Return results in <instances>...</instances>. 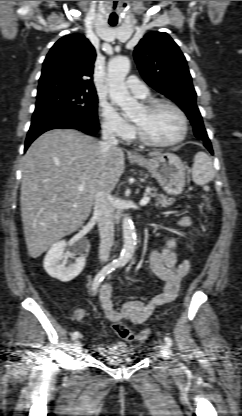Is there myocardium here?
I'll return each instance as SVG.
<instances>
[{"instance_id":"f54148a6","label":"myocardium","mask_w":242,"mask_h":416,"mask_svg":"<svg viewBox=\"0 0 242 416\" xmlns=\"http://www.w3.org/2000/svg\"><path fill=\"white\" fill-rule=\"evenodd\" d=\"M161 106H165V107H169L171 109H173L178 116L181 119L182 122V131L181 134L173 140L170 141H158V140H154L151 137H149L147 135V133L144 131V129L139 126L137 123H135L133 121V126H134V134L135 137L143 144L147 145V146H151V147H168V146H173L176 144L181 143L187 136L188 133V129H189V124H188V119L186 114L184 113V111L175 103L168 101V100H164V99H152L149 100L148 102H146L143 107L145 110L147 111H152L158 107Z\"/></svg>"}]
</instances>
